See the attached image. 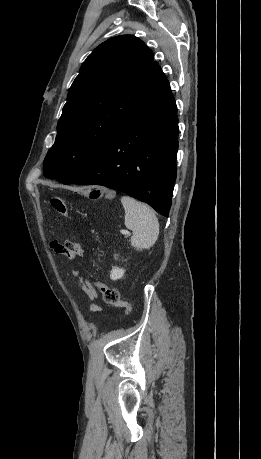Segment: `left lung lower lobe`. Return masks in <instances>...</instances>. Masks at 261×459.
Instances as JSON below:
<instances>
[{
	"mask_svg": "<svg viewBox=\"0 0 261 459\" xmlns=\"http://www.w3.org/2000/svg\"><path fill=\"white\" fill-rule=\"evenodd\" d=\"M178 132L177 107L165 79L96 158L63 183L119 190L168 217Z\"/></svg>",
	"mask_w": 261,
	"mask_h": 459,
	"instance_id": "obj_1",
	"label": "left lung lower lobe"
}]
</instances>
